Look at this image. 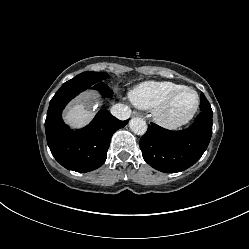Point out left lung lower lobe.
<instances>
[{"label":"left lung lower lobe","instance_id":"0a47b994","mask_svg":"<svg viewBox=\"0 0 249 249\" xmlns=\"http://www.w3.org/2000/svg\"><path fill=\"white\" fill-rule=\"evenodd\" d=\"M208 103L202 93L200 106L203 109L186 129L170 131L155 123L148 125L140 140L144 160L165 173L180 172L195 164L208 147L212 135L213 112L204 109Z\"/></svg>","mask_w":249,"mask_h":249}]
</instances>
